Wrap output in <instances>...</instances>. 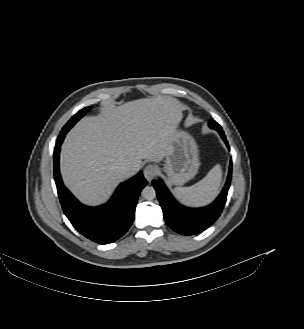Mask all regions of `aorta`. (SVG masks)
<instances>
[{
	"label": "aorta",
	"instance_id": "1",
	"mask_svg": "<svg viewBox=\"0 0 304 329\" xmlns=\"http://www.w3.org/2000/svg\"><path fill=\"white\" fill-rule=\"evenodd\" d=\"M142 196L146 200H153L156 196V191L152 186H146L142 190Z\"/></svg>",
	"mask_w": 304,
	"mask_h": 329
}]
</instances>
